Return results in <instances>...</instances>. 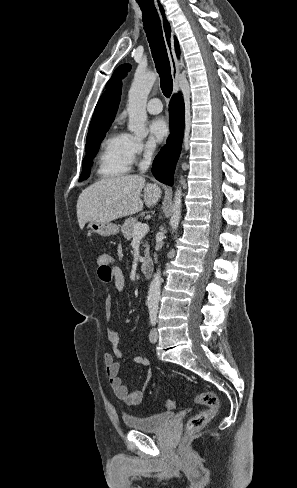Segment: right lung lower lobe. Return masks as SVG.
<instances>
[{
  "label": "right lung lower lobe",
  "mask_w": 297,
  "mask_h": 488,
  "mask_svg": "<svg viewBox=\"0 0 297 488\" xmlns=\"http://www.w3.org/2000/svg\"><path fill=\"white\" fill-rule=\"evenodd\" d=\"M171 135L167 144L156 156L152 173L157 180L173 185V175L181 151L184 130V103L180 94L173 96L170 102Z\"/></svg>",
  "instance_id": "right-lung-lower-lobe-1"
}]
</instances>
